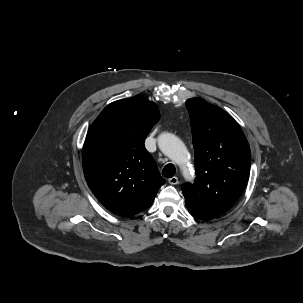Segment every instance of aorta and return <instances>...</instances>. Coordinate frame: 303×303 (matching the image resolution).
Returning <instances> with one entry per match:
<instances>
[{"mask_svg":"<svg viewBox=\"0 0 303 303\" xmlns=\"http://www.w3.org/2000/svg\"><path fill=\"white\" fill-rule=\"evenodd\" d=\"M160 150L185 170L184 160L187 158V150L183 142L171 133H163L158 138Z\"/></svg>","mask_w":303,"mask_h":303,"instance_id":"aorta-1","label":"aorta"}]
</instances>
